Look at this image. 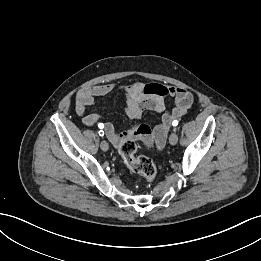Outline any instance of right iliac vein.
<instances>
[{
  "instance_id": "63e3f726",
  "label": "right iliac vein",
  "mask_w": 261,
  "mask_h": 261,
  "mask_svg": "<svg viewBox=\"0 0 261 261\" xmlns=\"http://www.w3.org/2000/svg\"><path fill=\"white\" fill-rule=\"evenodd\" d=\"M100 148H101L103 151H107L108 148H109V145H108V143H107L105 140H103V141H101V143H100Z\"/></svg>"
}]
</instances>
